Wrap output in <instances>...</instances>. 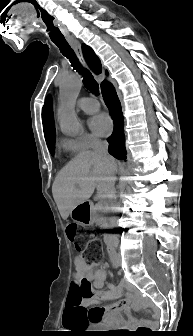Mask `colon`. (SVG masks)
<instances>
[{
    "label": "colon",
    "mask_w": 193,
    "mask_h": 336,
    "mask_svg": "<svg viewBox=\"0 0 193 336\" xmlns=\"http://www.w3.org/2000/svg\"><path fill=\"white\" fill-rule=\"evenodd\" d=\"M82 230L76 223H69L66 226V235L69 241L74 245L80 256L84 259L95 258L101 249L100 242L93 238L83 239L81 237ZM83 297L90 298L93 296V290L91 286H87L83 290ZM136 336H149L151 333L145 328H138L135 331Z\"/></svg>",
    "instance_id": "5ec220e1"
}]
</instances>
